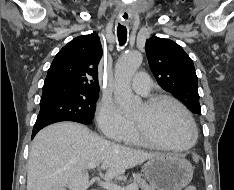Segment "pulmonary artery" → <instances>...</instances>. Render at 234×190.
Returning a JSON list of instances; mask_svg holds the SVG:
<instances>
[{
	"mask_svg": "<svg viewBox=\"0 0 234 190\" xmlns=\"http://www.w3.org/2000/svg\"><path fill=\"white\" fill-rule=\"evenodd\" d=\"M131 84L132 88L141 95L149 94L152 86L151 79L145 72L138 73Z\"/></svg>",
	"mask_w": 234,
	"mask_h": 190,
	"instance_id": "pulmonary-artery-1",
	"label": "pulmonary artery"
}]
</instances>
